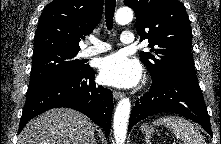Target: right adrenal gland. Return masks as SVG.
Listing matches in <instances>:
<instances>
[{"mask_svg":"<svg viewBox=\"0 0 221 144\" xmlns=\"http://www.w3.org/2000/svg\"><path fill=\"white\" fill-rule=\"evenodd\" d=\"M92 144H96V139L95 138H93Z\"/></svg>","mask_w":221,"mask_h":144,"instance_id":"1","label":"right adrenal gland"}]
</instances>
